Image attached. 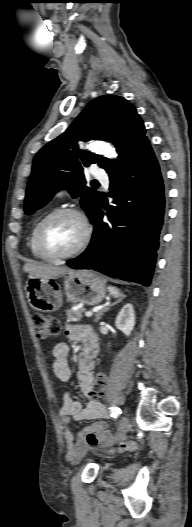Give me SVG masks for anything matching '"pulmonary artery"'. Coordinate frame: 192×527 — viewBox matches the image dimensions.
I'll list each match as a JSON object with an SVG mask.
<instances>
[{
	"instance_id": "e3ab8cb5",
	"label": "pulmonary artery",
	"mask_w": 192,
	"mask_h": 527,
	"mask_svg": "<svg viewBox=\"0 0 192 527\" xmlns=\"http://www.w3.org/2000/svg\"><path fill=\"white\" fill-rule=\"evenodd\" d=\"M93 176H94L95 179H97L98 181L102 182L103 184H105V185L108 184V176L103 170L96 169L93 172ZM62 194H63V191H59L57 193V196H62Z\"/></svg>"
}]
</instances>
